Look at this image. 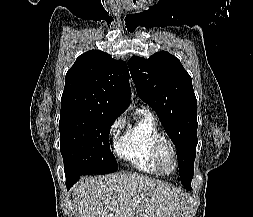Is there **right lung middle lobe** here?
<instances>
[{"instance_id":"1","label":"right lung middle lobe","mask_w":253,"mask_h":217,"mask_svg":"<svg viewBox=\"0 0 253 217\" xmlns=\"http://www.w3.org/2000/svg\"><path fill=\"white\" fill-rule=\"evenodd\" d=\"M117 116L102 112L61 110L60 150L67 177L107 174L118 170L110 151V128Z\"/></svg>"}]
</instances>
